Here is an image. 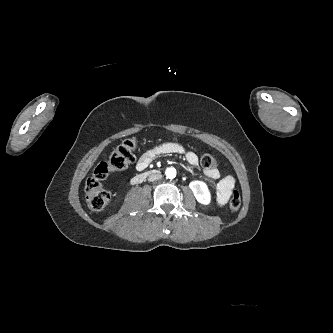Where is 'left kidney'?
Listing matches in <instances>:
<instances>
[{
	"instance_id": "5707ae66",
	"label": "left kidney",
	"mask_w": 333,
	"mask_h": 333,
	"mask_svg": "<svg viewBox=\"0 0 333 333\" xmlns=\"http://www.w3.org/2000/svg\"><path fill=\"white\" fill-rule=\"evenodd\" d=\"M196 200L201 204H209L211 201V195L209 189L203 181H192L189 184Z\"/></svg>"
}]
</instances>
